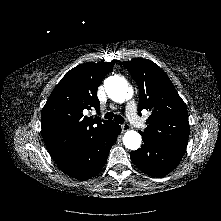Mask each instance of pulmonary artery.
Segmentation results:
<instances>
[{
  "mask_svg": "<svg viewBox=\"0 0 221 221\" xmlns=\"http://www.w3.org/2000/svg\"><path fill=\"white\" fill-rule=\"evenodd\" d=\"M126 114L132 124H134L135 126H140L141 123L136 113V104L134 103V101H129L127 103Z\"/></svg>",
  "mask_w": 221,
  "mask_h": 221,
  "instance_id": "obj_1",
  "label": "pulmonary artery"
}]
</instances>
